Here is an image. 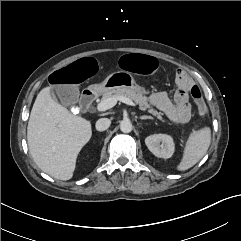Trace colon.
Wrapping results in <instances>:
<instances>
[{
	"instance_id": "5ec220e1",
	"label": "colon",
	"mask_w": 241,
	"mask_h": 241,
	"mask_svg": "<svg viewBox=\"0 0 241 241\" xmlns=\"http://www.w3.org/2000/svg\"><path fill=\"white\" fill-rule=\"evenodd\" d=\"M117 66L122 71L137 70L140 74H152L159 68V61L148 53L131 52L122 54L117 59ZM101 73V64L95 58H81L72 65L53 71L49 82L56 92V99L65 109H74L80 103L78 87L83 86L87 79H95ZM192 97L200 114L206 112V105L198 88L192 89Z\"/></svg>"
}]
</instances>
